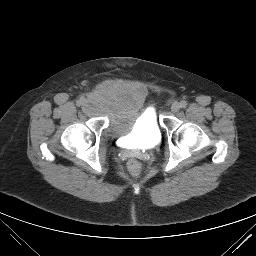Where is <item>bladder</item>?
<instances>
[{"label": "bladder", "mask_w": 256, "mask_h": 256, "mask_svg": "<svg viewBox=\"0 0 256 256\" xmlns=\"http://www.w3.org/2000/svg\"><path fill=\"white\" fill-rule=\"evenodd\" d=\"M90 103L106 112L109 130L128 143L148 147L160 140L157 115L143 88L127 84L102 88L91 95Z\"/></svg>", "instance_id": "1"}]
</instances>
